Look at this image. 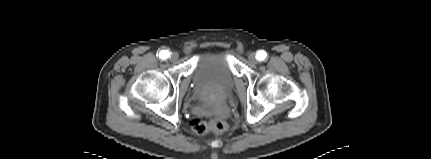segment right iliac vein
Here are the masks:
<instances>
[{
  "label": "right iliac vein",
  "mask_w": 431,
  "mask_h": 159,
  "mask_svg": "<svg viewBox=\"0 0 431 159\" xmlns=\"http://www.w3.org/2000/svg\"><path fill=\"white\" fill-rule=\"evenodd\" d=\"M179 55L176 52L171 53L170 60L176 61L178 59Z\"/></svg>",
  "instance_id": "63e3f726"
}]
</instances>
